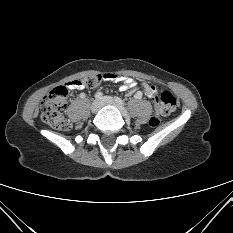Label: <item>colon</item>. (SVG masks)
Wrapping results in <instances>:
<instances>
[{"mask_svg":"<svg viewBox=\"0 0 233 233\" xmlns=\"http://www.w3.org/2000/svg\"><path fill=\"white\" fill-rule=\"evenodd\" d=\"M104 74H95L83 78V84L86 88H95L99 86L103 80ZM69 89L66 86H60L53 89L45 96L41 103V117L44 122L57 130H68L71 127L70 121L64 116L63 112L68 101ZM158 112L162 115H169L175 111L177 100L175 96L167 91L162 92L154 99ZM159 124L157 115L149 120V125L155 127Z\"/></svg>","mask_w":233,"mask_h":233,"instance_id":"5ec220e1","label":"colon"}]
</instances>
